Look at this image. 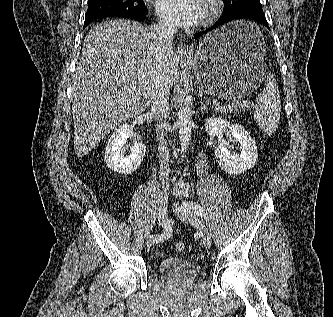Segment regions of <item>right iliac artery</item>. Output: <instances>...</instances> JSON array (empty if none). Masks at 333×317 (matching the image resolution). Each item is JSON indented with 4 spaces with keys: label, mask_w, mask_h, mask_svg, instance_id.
<instances>
[{
    "label": "right iliac artery",
    "mask_w": 333,
    "mask_h": 317,
    "mask_svg": "<svg viewBox=\"0 0 333 317\" xmlns=\"http://www.w3.org/2000/svg\"><path fill=\"white\" fill-rule=\"evenodd\" d=\"M164 228H165L164 233H162L161 235H156V237H155L156 242L166 240L171 236V234H172L171 227L166 224V226Z\"/></svg>",
    "instance_id": "obj_1"
}]
</instances>
